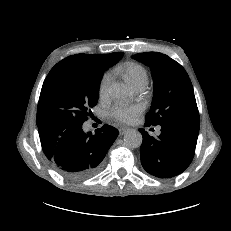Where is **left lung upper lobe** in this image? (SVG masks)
Masks as SVG:
<instances>
[{
  "label": "left lung upper lobe",
  "mask_w": 231,
  "mask_h": 231,
  "mask_svg": "<svg viewBox=\"0 0 231 231\" xmlns=\"http://www.w3.org/2000/svg\"><path fill=\"white\" fill-rule=\"evenodd\" d=\"M150 66L155 93L146 115L149 125L193 124L200 126L199 112L192 83L185 69L169 56L159 52L132 56Z\"/></svg>",
  "instance_id": "5c2ea615"
}]
</instances>
